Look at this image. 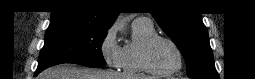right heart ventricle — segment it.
I'll return each mask as SVG.
<instances>
[{"mask_svg": "<svg viewBox=\"0 0 255 79\" xmlns=\"http://www.w3.org/2000/svg\"><path fill=\"white\" fill-rule=\"evenodd\" d=\"M155 34L152 25L132 23V40L122 47L121 65L123 72L130 75H142L146 71L140 62V51L144 42Z\"/></svg>", "mask_w": 255, "mask_h": 79, "instance_id": "1", "label": "right heart ventricle"}]
</instances>
